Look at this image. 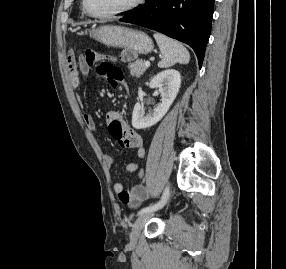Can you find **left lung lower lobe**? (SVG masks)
Returning <instances> with one entry per match:
<instances>
[{"instance_id": "1", "label": "left lung lower lobe", "mask_w": 286, "mask_h": 269, "mask_svg": "<svg viewBox=\"0 0 286 269\" xmlns=\"http://www.w3.org/2000/svg\"><path fill=\"white\" fill-rule=\"evenodd\" d=\"M213 8L214 0H148L120 21L187 43L194 49L201 68L211 32Z\"/></svg>"}]
</instances>
